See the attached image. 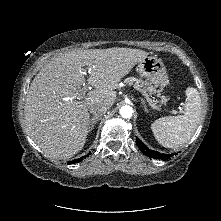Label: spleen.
Segmentation results:
<instances>
[{
  "label": "spleen",
  "mask_w": 221,
  "mask_h": 221,
  "mask_svg": "<svg viewBox=\"0 0 221 221\" xmlns=\"http://www.w3.org/2000/svg\"><path fill=\"white\" fill-rule=\"evenodd\" d=\"M183 115L161 117L151 124L155 139L164 147L177 149L194 134L201 114V99L197 89L188 87Z\"/></svg>",
  "instance_id": "1"
}]
</instances>
